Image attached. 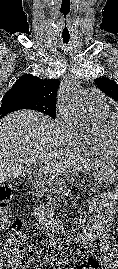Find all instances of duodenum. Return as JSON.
I'll return each instance as SVG.
<instances>
[{
	"label": "duodenum",
	"mask_w": 118,
	"mask_h": 269,
	"mask_svg": "<svg viewBox=\"0 0 118 269\" xmlns=\"http://www.w3.org/2000/svg\"><path fill=\"white\" fill-rule=\"evenodd\" d=\"M35 218L43 227L59 234H68L70 227L67 223L49 216L44 210L37 207L35 209Z\"/></svg>",
	"instance_id": "duodenum-1"
}]
</instances>
